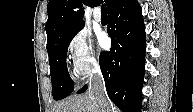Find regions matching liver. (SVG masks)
Segmentation results:
<instances>
[{
    "label": "liver",
    "mask_w": 193,
    "mask_h": 112,
    "mask_svg": "<svg viewBox=\"0 0 193 112\" xmlns=\"http://www.w3.org/2000/svg\"><path fill=\"white\" fill-rule=\"evenodd\" d=\"M109 109L111 112L110 105ZM53 112H100V107L88 92L57 103Z\"/></svg>",
    "instance_id": "obj_1"
}]
</instances>
